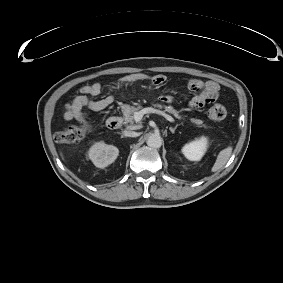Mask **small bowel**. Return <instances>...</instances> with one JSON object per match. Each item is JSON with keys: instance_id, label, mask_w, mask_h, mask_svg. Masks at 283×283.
Here are the masks:
<instances>
[{"instance_id": "1", "label": "small bowel", "mask_w": 283, "mask_h": 283, "mask_svg": "<svg viewBox=\"0 0 283 283\" xmlns=\"http://www.w3.org/2000/svg\"><path fill=\"white\" fill-rule=\"evenodd\" d=\"M151 76L146 73H130L123 76L120 80L122 85H130L140 81L150 80ZM165 82L163 76H155L152 79L154 85H162ZM189 87L194 91V95L190 101V107L199 109L205 104L214 101L218 97L219 85L214 81H207L205 83L200 80L194 79L189 82ZM101 92V85L99 83H90L83 85L79 89V94L66 105L64 111V119L67 121L83 119V109H89L92 111H100L114 102V96L108 95L101 99H92L99 95ZM162 101L165 103H171L173 98L170 95L162 96Z\"/></svg>"}]
</instances>
